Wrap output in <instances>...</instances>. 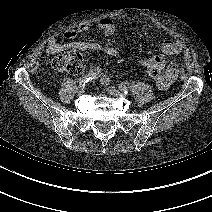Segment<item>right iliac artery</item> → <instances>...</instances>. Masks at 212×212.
<instances>
[{"mask_svg":"<svg viewBox=\"0 0 212 212\" xmlns=\"http://www.w3.org/2000/svg\"><path fill=\"white\" fill-rule=\"evenodd\" d=\"M102 75L100 69L89 71L82 79L79 80V87H84L89 81L96 79Z\"/></svg>","mask_w":212,"mask_h":212,"instance_id":"1","label":"right iliac artery"}]
</instances>
